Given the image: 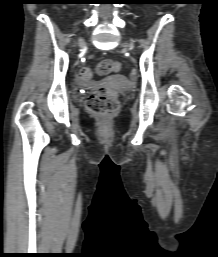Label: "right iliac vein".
I'll use <instances>...</instances> for the list:
<instances>
[{
  "label": "right iliac vein",
  "instance_id": "right-iliac-vein-1",
  "mask_svg": "<svg viewBox=\"0 0 218 257\" xmlns=\"http://www.w3.org/2000/svg\"><path fill=\"white\" fill-rule=\"evenodd\" d=\"M83 43V39L79 40V45H81Z\"/></svg>",
  "mask_w": 218,
  "mask_h": 257
}]
</instances>
